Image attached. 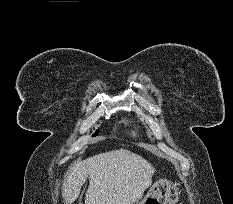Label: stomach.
<instances>
[{
  "label": "stomach",
  "mask_w": 233,
  "mask_h": 204,
  "mask_svg": "<svg viewBox=\"0 0 233 204\" xmlns=\"http://www.w3.org/2000/svg\"><path fill=\"white\" fill-rule=\"evenodd\" d=\"M174 183L167 179L156 181L140 204H176L178 191Z\"/></svg>",
  "instance_id": "obj_1"
}]
</instances>
